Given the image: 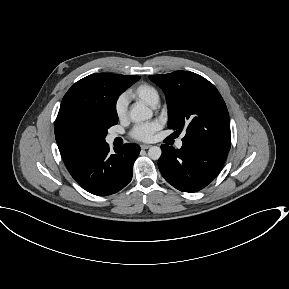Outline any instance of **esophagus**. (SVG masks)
I'll return each mask as SVG.
<instances>
[{
  "label": "esophagus",
  "mask_w": 289,
  "mask_h": 289,
  "mask_svg": "<svg viewBox=\"0 0 289 289\" xmlns=\"http://www.w3.org/2000/svg\"><path fill=\"white\" fill-rule=\"evenodd\" d=\"M150 147H151V145H147V144H142L141 145V149H148Z\"/></svg>",
  "instance_id": "34e87169"
}]
</instances>
